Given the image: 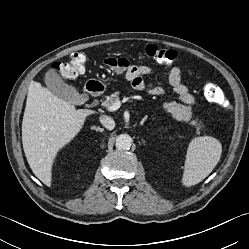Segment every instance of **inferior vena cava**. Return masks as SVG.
I'll list each match as a JSON object with an SVG mask.
<instances>
[{
    "instance_id": "inferior-vena-cava-1",
    "label": "inferior vena cava",
    "mask_w": 249,
    "mask_h": 249,
    "mask_svg": "<svg viewBox=\"0 0 249 249\" xmlns=\"http://www.w3.org/2000/svg\"><path fill=\"white\" fill-rule=\"evenodd\" d=\"M100 122L108 130H112L115 127L114 120L109 116L101 115L100 116Z\"/></svg>"
}]
</instances>
